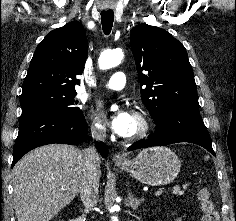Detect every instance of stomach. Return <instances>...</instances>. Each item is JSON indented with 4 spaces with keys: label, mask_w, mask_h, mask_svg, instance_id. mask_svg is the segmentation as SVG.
<instances>
[{
    "label": "stomach",
    "mask_w": 236,
    "mask_h": 221,
    "mask_svg": "<svg viewBox=\"0 0 236 221\" xmlns=\"http://www.w3.org/2000/svg\"><path fill=\"white\" fill-rule=\"evenodd\" d=\"M117 166L130 172L139 182L151 186H161L172 182L180 172L178 156L167 147L144 149L133 158Z\"/></svg>",
    "instance_id": "0dacf381"
}]
</instances>
